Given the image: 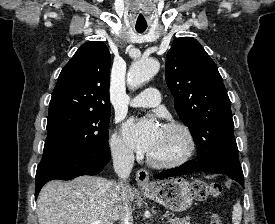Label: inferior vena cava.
<instances>
[{
  "mask_svg": "<svg viewBox=\"0 0 275 224\" xmlns=\"http://www.w3.org/2000/svg\"><path fill=\"white\" fill-rule=\"evenodd\" d=\"M112 158L115 173L120 178V182L116 185V203L120 212V224H131V209L127 197L129 184L126 182V179L133 168L134 155L132 151L125 147H116L112 150Z\"/></svg>",
  "mask_w": 275,
  "mask_h": 224,
  "instance_id": "inferior-vena-cava-1",
  "label": "inferior vena cava"
}]
</instances>
